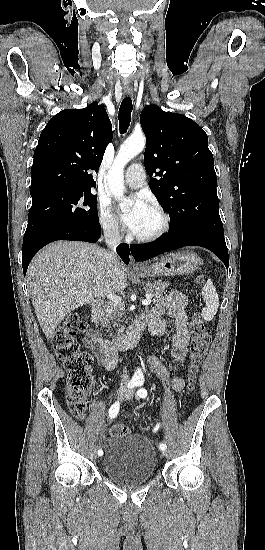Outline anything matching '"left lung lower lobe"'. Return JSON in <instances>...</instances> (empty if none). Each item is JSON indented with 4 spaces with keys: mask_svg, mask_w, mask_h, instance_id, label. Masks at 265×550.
<instances>
[{
    "mask_svg": "<svg viewBox=\"0 0 265 550\" xmlns=\"http://www.w3.org/2000/svg\"><path fill=\"white\" fill-rule=\"evenodd\" d=\"M184 246H201L209 249L223 261L228 270L229 256L224 235L207 229L187 228L169 231L155 243L130 245V250L136 261H145Z\"/></svg>",
    "mask_w": 265,
    "mask_h": 550,
    "instance_id": "1",
    "label": "left lung lower lobe"
}]
</instances>
